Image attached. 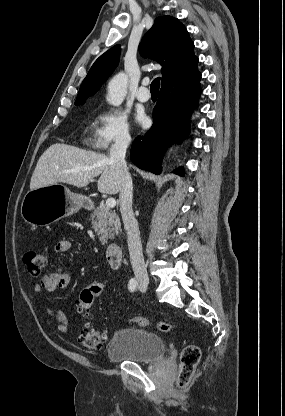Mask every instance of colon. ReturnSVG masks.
I'll return each instance as SVG.
<instances>
[{
	"label": "colon",
	"mask_w": 285,
	"mask_h": 416,
	"mask_svg": "<svg viewBox=\"0 0 285 416\" xmlns=\"http://www.w3.org/2000/svg\"><path fill=\"white\" fill-rule=\"evenodd\" d=\"M24 264L28 272L33 276H38L45 266V257L37 250H28L23 256ZM102 284L94 282L85 287L79 296V310L86 318L90 315L94 300L102 293ZM131 322L139 327L155 325L162 332H169L172 325L167 322H152L147 318H132ZM107 336L104 331L97 330L87 324L78 335V342L81 346L89 350L100 349L106 342ZM201 358L200 349L195 345L186 346L181 353V368L178 374L177 383L180 387L186 386L198 365Z\"/></svg>",
	"instance_id": "obj_1"
}]
</instances>
